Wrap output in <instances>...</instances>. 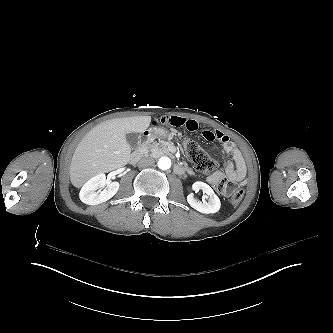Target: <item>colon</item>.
Wrapping results in <instances>:
<instances>
[{"mask_svg": "<svg viewBox=\"0 0 333 333\" xmlns=\"http://www.w3.org/2000/svg\"><path fill=\"white\" fill-rule=\"evenodd\" d=\"M182 146L197 170L206 174H212L217 170L218 163L201 148L196 140L185 139ZM217 189L225 199L230 200L234 205L239 204L244 196V191L241 188L226 179H221L217 183Z\"/></svg>", "mask_w": 333, "mask_h": 333, "instance_id": "obj_1", "label": "colon"}]
</instances>
